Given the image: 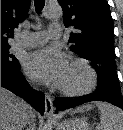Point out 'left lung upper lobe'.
Returning <instances> with one entry per match:
<instances>
[{
  "label": "left lung upper lobe",
  "instance_id": "5c2ea615",
  "mask_svg": "<svg viewBox=\"0 0 123 130\" xmlns=\"http://www.w3.org/2000/svg\"><path fill=\"white\" fill-rule=\"evenodd\" d=\"M66 27L73 26L71 51L89 60L98 74L97 88L121 97L116 75L113 20L106 0H58Z\"/></svg>",
  "mask_w": 123,
  "mask_h": 130
}]
</instances>
